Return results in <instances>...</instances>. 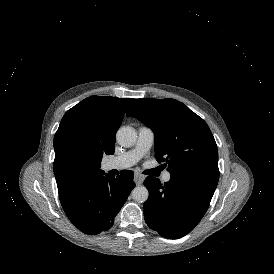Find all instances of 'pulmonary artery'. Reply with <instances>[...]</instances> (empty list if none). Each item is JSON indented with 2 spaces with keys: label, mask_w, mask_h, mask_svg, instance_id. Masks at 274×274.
Returning a JSON list of instances; mask_svg holds the SVG:
<instances>
[{
  "label": "pulmonary artery",
  "mask_w": 274,
  "mask_h": 274,
  "mask_svg": "<svg viewBox=\"0 0 274 274\" xmlns=\"http://www.w3.org/2000/svg\"><path fill=\"white\" fill-rule=\"evenodd\" d=\"M154 142V133L147 127H140L138 138L133 149L121 156L115 157L105 163L106 170H124L138 163V161L149 152ZM171 175L169 172L163 174V182H169Z\"/></svg>",
  "instance_id": "1"
}]
</instances>
